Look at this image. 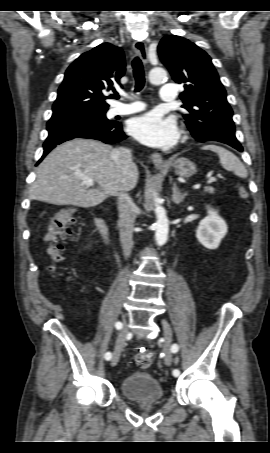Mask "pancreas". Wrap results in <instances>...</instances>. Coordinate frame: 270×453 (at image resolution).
Returning a JSON list of instances; mask_svg holds the SVG:
<instances>
[{
	"instance_id": "pancreas-1",
	"label": "pancreas",
	"mask_w": 270,
	"mask_h": 453,
	"mask_svg": "<svg viewBox=\"0 0 270 453\" xmlns=\"http://www.w3.org/2000/svg\"><path fill=\"white\" fill-rule=\"evenodd\" d=\"M214 191H215V189H214L213 187H207V188L205 189V192H208V193H210V194H213Z\"/></svg>"
}]
</instances>
